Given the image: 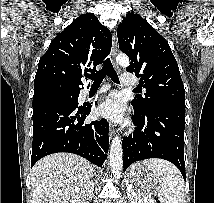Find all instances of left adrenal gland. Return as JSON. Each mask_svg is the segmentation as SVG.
<instances>
[{
	"mask_svg": "<svg viewBox=\"0 0 214 203\" xmlns=\"http://www.w3.org/2000/svg\"><path fill=\"white\" fill-rule=\"evenodd\" d=\"M128 198H129V200H131L130 193H128Z\"/></svg>",
	"mask_w": 214,
	"mask_h": 203,
	"instance_id": "obj_1",
	"label": "left adrenal gland"
}]
</instances>
